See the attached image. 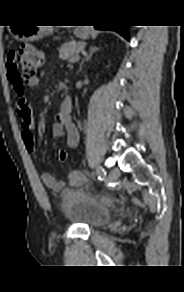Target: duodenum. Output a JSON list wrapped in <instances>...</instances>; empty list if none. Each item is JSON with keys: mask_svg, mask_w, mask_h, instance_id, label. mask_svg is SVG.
Segmentation results:
<instances>
[{"mask_svg": "<svg viewBox=\"0 0 184 292\" xmlns=\"http://www.w3.org/2000/svg\"><path fill=\"white\" fill-rule=\"evenodd\" d=\"M72 105V99L70 97H66L63 99L62 103L60 104V111L65 112L70 110Z\"/></svg>", "mask_w": 184, "mask_h": 292, "instance_id": "duodenum-1", "label": "duodenum"}]
</instances>
